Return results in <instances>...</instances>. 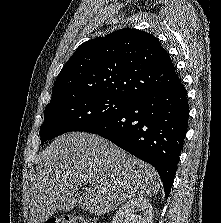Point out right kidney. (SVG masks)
Wrapping results in <instances>:
<instances>
[{
  "label": "right kidney",
  "mask_w": 221,
  "mask_h": 223,
  "mask_svg": "<svg viewBox=\"0 0 221 223\" xmlns=\"http://www.w3.org/2000/svg\"><path fill=\"white\" fill-rule=\"evenodd\" d=\"M152 205L144 197L130 199L115 214L112 223H152ZM141 214L137 215L136 212Z\"/></svg>",
  "instance_id": "1"
}]
</instances>
